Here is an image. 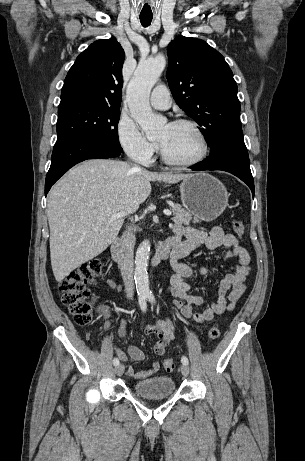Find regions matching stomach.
<instances>
[{
    "label": "stomach",
    "mask_w": 305,
    "mask_h": 461,
    "mask_svg": "<svg viewBox=\"0 0 305 461\" xmlns=\"http://www.w3.org/2000/svg\"><path fill=\"white\" fill-rule=\"evenodd\" d=\"M182 205L204 221L219 217L228 205V192L220 180L199 172L189 175L180 184Z\"/></svg>",
    "instance_id": "1"
}]
</instances>
